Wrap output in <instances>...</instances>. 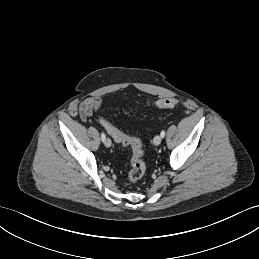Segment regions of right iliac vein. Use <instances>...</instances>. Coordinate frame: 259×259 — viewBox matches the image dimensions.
<instances>
[{
  "label": "right iliac vein",
  "instance_id": "obj_1",
  "mask_svg": "<svg viewBox=\"0 0 259 259\" xmlns=\"http://www.w3.org/2000/svg\"><path fill=\"white\" fill-rule=\"evenodd\" d=\"M104 144L106 147H110L112 145V142L109 138H106L105 141H104Z\"/></svg>",
  "mask_w": 259,
  "mask_h": 259
}]
</instances>
